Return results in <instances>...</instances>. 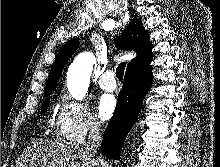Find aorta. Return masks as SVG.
Masks as SVG:
<instances>
[{"mask_svg": "<svg viewBox=\"0 0 220 167\" xmlns=\"http://www.w3.org/2000/svg\"><path fill=\"white\" fill-rule=\"evenodd\" d=\"M95 61L92 53H82L70 65L67 87L73 98L81 100L85 97Z\"/></svg>", "mask_w": 220, "mask_h": 167, "instance_id": "obj_1", "label": "aorta"}]
</instances>
